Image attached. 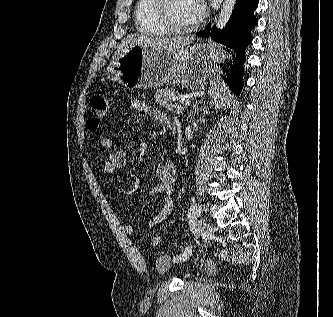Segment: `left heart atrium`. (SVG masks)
I'll return each mask as SVG.
<instances>
[{
    "instance_id": "1",
    "label": "left heart atrium",
    "mask_w": 333,
    "mask_h": 317,
    "mask_svg": "<svg viewBox=\"0 0 333 317\" xmlns=\"http://www.w3.org/2000/svg\"><path fill=\"white\" fill-rule=\"evenodd\" d=\"M194 11L196 19H200L205 11L203 0H194Z\"/></svg>"
}]
</instances>
